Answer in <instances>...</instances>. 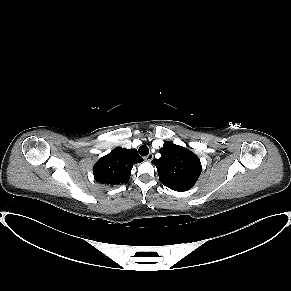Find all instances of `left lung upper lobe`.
Segmentation results:
<instances>
[{"label": "left lung upper lobe", "mask_w": 291, "mask_h": 291, "mask_svg": "<svg viewBox=\"0 0 291 291\" xmlns=\"http://www.w3.org/2000/svg\"><path fill=\"white\" fill-rule=\"evenodd\" d=\"M161 157L152 160L160 182L175 191H187L200 176V159L185 147L165 142L159 149Z\"/></svg>", "instance_id": "obj_1"}]
</instances>
